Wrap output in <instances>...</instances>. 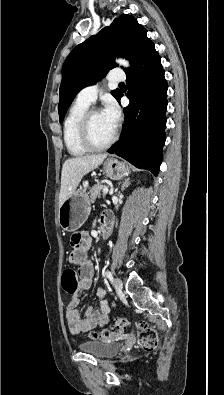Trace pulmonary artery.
Returning a JSON list of instances; mask_svg holds the SVG:
<instances>
[{"mask_svg":"<svg viewBox=\"0 0 224 395\" xmlns=\"http://www.w3.org/2000/svg\"><path fill=\"white\" fill-rule=\"evenodd\" d=\"M125 79H126V74L123 70L114 69L110 71L109 80L111 82L123 81ZM98 92H99L98 84L87 86L78 93L77 100L90 105L96 100Z\"/></svg>","mask_w":224,"mask_h":395,"instance_id":"pulmonary-artery-1","label":"pulmonary artery"}]
</instances>
